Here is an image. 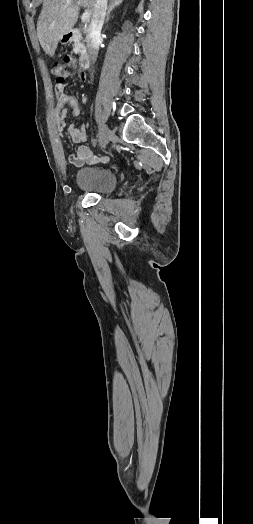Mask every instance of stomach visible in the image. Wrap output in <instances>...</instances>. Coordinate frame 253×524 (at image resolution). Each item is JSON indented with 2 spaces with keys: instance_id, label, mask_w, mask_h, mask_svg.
I'll return each mask as SVG.
<instances>
[{
  "instance_id": "1",
  "label": "stomach",
  "mask_w": 253,
  "mask_h": 524,
  "mask_svg": "<svg viewBox=\"0 0 253 524\" xmlns=\"http://www.w3.org/2000/svg\"><path fill=\"white\" fill-rule=\"evenodd\" d=\"M64 36H65V35H64ZM64 36H62V37H61L60 41H62V40H63V37H64Z\"/></svg>"
}]
</instances>
